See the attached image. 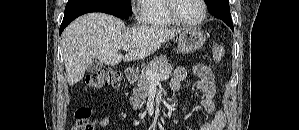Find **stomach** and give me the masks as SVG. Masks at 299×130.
Masks as SVG:
<instances>
[{"label": "stomach", "mask_w": 299, "mask_h": 130, "mask_svg": "<svg viewBox=\"0 0 299 130\" xmlns=\"http://www.w3.org/2000/svg\"><path fill=\"white\" fill-rule=\"evenodd\" d=\"M207 36L197 27L185 29L178 39L177 50L181 53H192L202 48Z\"/></svg>", "instance_id": "obj_1"}]
</instances>
